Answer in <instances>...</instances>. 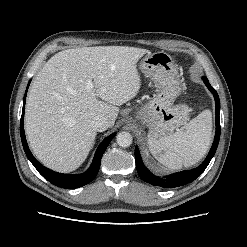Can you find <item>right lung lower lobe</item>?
I'll return each mask as SVG.
<instances>
[{
    "instance_id": "right-lung-lower-lobe-1",
    "label": "right lung lower lobe",
    "mask_w": 247,
    "mask_h": 247,
    "mask_svg": "<svg viewBox=\"0 0 247 247\" xmlns=\"http://www.w3.org/2000/svg\"><path fill=\"white\" fill-rule=\"evenodd\" d=\"M30 81L28 83V86L30 84ZM26 94H27V90L25 92L24 100H23V110H22V116H21V121H20V135H21V140H22L24 151L28 159L34 165V167L50 183L58 187L66 188V189L82 187L90 183L92 180H94V178L96 177L99 171L103 153L105 152L106 148L108 147L109 143L111 142L113 137L116 135V133L111 134L109 137H107L104 141L101 142V144L99 145L95 153V156H94V159H93V162L90 168L85 173L78 174V175H68V174H61V173L54 172L44 167L42 164H40L34 158V156L30 152L29 147L27 145V141H26L25 133H24V109H25Z\"/></svg>"
}]
</instances>
